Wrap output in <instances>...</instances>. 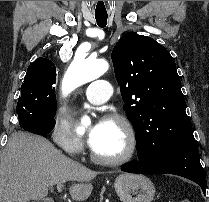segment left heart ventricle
I'll use <instances>...</instances> for the list:
<instances>
[{"label":"left heart ventricle","mask_w":209,"mask_h":202,"mask_svg":"<svg viewBox=\"0 0 209 202\" xmlns=\"http://www.w3.org/2000/svg\"><path fill=\"white\" fill-rule=\"evenodd\" d=\"M92 147L105 157L120 156L127 147V137L119 124L104 121L100 137Z\"/></svg>","instance_id":"obj_1"}]
</instances>
